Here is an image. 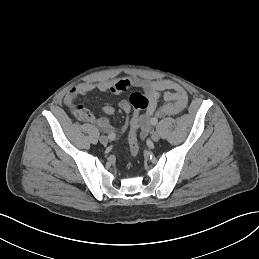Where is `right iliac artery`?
Returning <instances> with one entry per match:
<instances>
[{
  "label": "right iliac artery",
  "mask_w": 259,
  "mask_h": 259,
  "mask_svg": "<svg viewBox=\"0 0 259 259\" xmlns=\"http://www.w3.org/2000/svg\"><path fill=\"white\" fill-rule=\"evenodd\" d=\"M108 138L110 140H114L116 138V135L114 133H111V134L108 135Z\"/></svg>",
  "instance_id": "1"
}]
</instances>
